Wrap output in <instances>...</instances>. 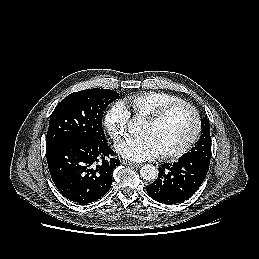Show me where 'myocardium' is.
<instances>
[{"label": "myocardium", "instance_id": "myocardium-1", "mask_svg": "<svg viewBox=\"0 0 259 259\" xmlns=\"http://www.w3.org/2000/svg\"><path fill=\"white\" fill-rule=\"evenodd\" d=\"M180 107H185L189 109L193 116H194V121H195V126L194 130L191 134V136L188 138V140L178 149L170 151V152H165V153H160L159 157L164 160H173L177 159L181 156H183L185 153H187L191 147L195 144L197 141L201 129H202V120L199 111L195 106L192 104L185 102V101H179L175 103H171L169 105H166L162 107L161 109L157 110L153 114L149 115L148 117L145 118V121L150 123V124H157L161 122L163 119H165L168 115H170L173 111Z\"/></svg>", "mask_w": 259, "mask_h": 259}]
</instances>
